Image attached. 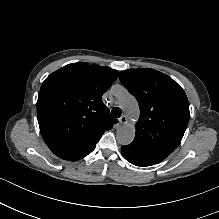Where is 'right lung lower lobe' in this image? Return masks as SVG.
Instances as JSON below:
<instances>
[{"instance_id":"obj_1","label":"right lung lower lobe","mask_w":219,"mask_h":219,"mask_svg":"<svg viewBox=\"0 0 219 219\" xmlns=\"http://www.w3.org/2000/svg\"><path fill=\"white\" fill-rule=\"evenodd\" d=\"M83 157H85V156H83ZM83 157H80V158H74V159H66V160L76 161V160H79V159H81V158H83Z\"/></svg>"}]
</instances>
